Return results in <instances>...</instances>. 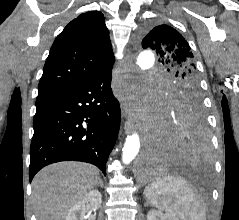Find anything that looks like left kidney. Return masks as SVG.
I'll return each mask as SVG.
<instances>
[{"mask_svg":"<svg viewBox=\"0 0 239 220\" xmlns=\"http://www.w3.org/2000/svg\"><path fill=\"white\" fill-rule=\"evenodd\" d=\"M147 220H179L173 213H163L162 211L151 210L147 214Z\"/></svg>","mask_w":239,"mask_h":220,"instance_id":"obj_1","label":"left kidney"}]
</instances>
